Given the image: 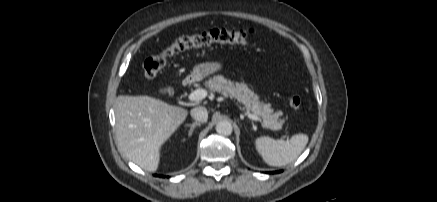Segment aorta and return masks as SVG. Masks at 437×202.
Returning a JSON list of instances; mask_svg holds the SVG:
<instances>
[{"label":"aorta","mask_w":437,"mask_h":202,"mask_svg":"<svg viewBox=\"0 0 437 202\" xmlns=\"http://www.w3.org/2000/svg\"><path fill=\"white\" fill-rule=\"evenodd\" d=\"M232 125L229 121L223 120L217 123L216 131L218 134L223 136H229L232 133Z\"/></svg>","instance_id":"aorta-1"}]
</instances>
